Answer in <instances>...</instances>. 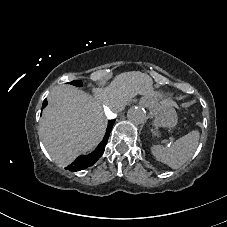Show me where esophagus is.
Listing matches in <instances>:
<instances>
[{"label":"esophagus","mask_w":227,"mask_h":227,"mask_svg":"<svg viewBox=\"0 0 227 227\" xmlns=\"http://www.w3.org/2000/svg\"><path fill=\"white\" fill-rule=\"evenodd\" d=\"M138 104H139L140 108L143 110L148 109L150 106V103L146 97H140L138 99Z\"/></svg>","instance_id":"obj_1"}]
</instances>
